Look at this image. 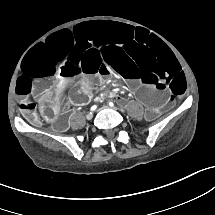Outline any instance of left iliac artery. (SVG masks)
<instances>
[{"mask_svg": "<svg viewBox=\"0 0 215 215\" xmlns=\"http://www.w3.org/2000/svg\"><path fill=\"white\" fill-rule=\"evenodd\" d=\"M109 105H110L111 107H113V106H114V103H113V102H110Z\"/></svg>", "mask_w": 215, "mask_h": 215, "instance_id": "left-iliac-artery-1", "label": "left iliac artery"}]
</instances>
